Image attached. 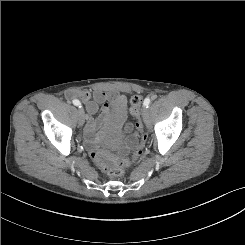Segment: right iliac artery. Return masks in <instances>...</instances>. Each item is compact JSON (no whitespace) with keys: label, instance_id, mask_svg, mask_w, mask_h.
Wrapping results in <instances>:
<instances>
[{"label":"right iliac artery","instance_id":"1","mask_svg":"<svg viewBox=\"0 0 245 245\" xmlns=\"http://www.w3.org/2000/svg\"><path fill=\"white\" fill-rule=\"evenodd\" d=\"M73 104L76 105V106L81 107V103H80V101L77 100V99H74V100H73Z\"/></svg>","mask_w":245,"mask_h":245}]
</instances>
